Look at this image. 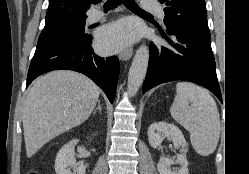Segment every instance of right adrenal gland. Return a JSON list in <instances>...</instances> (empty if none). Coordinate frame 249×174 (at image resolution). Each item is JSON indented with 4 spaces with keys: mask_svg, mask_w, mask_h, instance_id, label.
Segmentation results:
<instances>
[{
    "mask_svg": "<svg viewBox=\"0 0 249 174\" xmlns=\"http://www.w3.org/2000/svg\"><path fill=\"white\" fill-rule=\"evenodd\" d=\"M98 110H99L100 113H101L102 108H101V105H100V100H98V106H97V108L94 110V114H95Z\"/></svg>",
    "mask_w": 249,
    "mask_h": 174,
    "instance_id": "2a0ac1e0",
    "label": "right adrenal gland"
}]
</instances>
